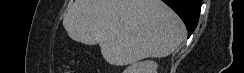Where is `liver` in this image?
Returning <instances> with one entry per match:
<instances>
[{"label": "liver", "instance_id": "obj_1", "mask_svg": "<svg viewBox=\"0 0 244 73\" xmlns=\"http://www.w3.org/2000/svg\"><path fill=\"white\" fill-rule=\"evenodd\" d=\"M63 26L74 41L98 43L116 66L166 57L186 36L180 17L161 0H75Z\"/></svg>", "mask_w": 244, "mask_h": 73}]
</instances>
